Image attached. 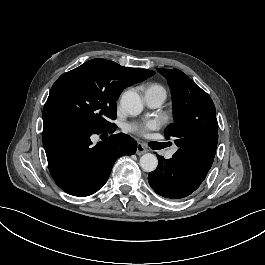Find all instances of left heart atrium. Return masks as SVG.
Returning a JSON list of instances; mask_svg holds the SVG:
<instances>
[{"instance_id": "39dd6f15", "label": "left heart atrium", "mask_w": 265, "mask_h": 265, "mask_svg": "<svg viewBox=\"0 0 265 265\" xmlns=\"http://www.w3.org/2000/svg\"><path fill=\"white\" fill-rule=\"evenodd\" d=\"M157 127L158 124L155 121H147L142 124H132L129 126V130L140 136H146L149 130Z\"/></svg>"}]
</instances>
